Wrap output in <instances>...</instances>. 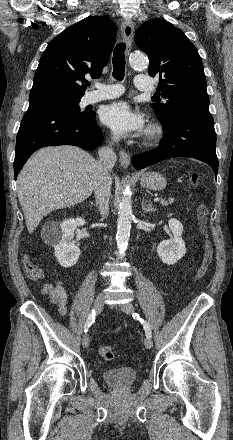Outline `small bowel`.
<instances>
[{
  "label": "small bowel",
  "mask_w": 233,
  "mask_h": 440,
  "mask_svg": "<svg viewBox=\"0 0 233 440\" xmlns=\"http://www.w3.org/2000/svg\"><path fill=\"white\" fill-rule=\"evenodd\" d=\"M42 295L46 296L49 301L56 305L57 311L60 315L65 316L67 313V299L68 295L65 288L60 285L44 284L41 287Z\"/></svg>",
  "instance_id": "1"
}]
</instances>
